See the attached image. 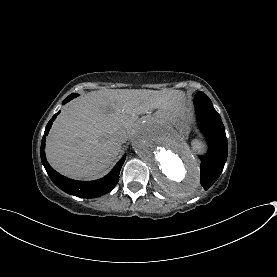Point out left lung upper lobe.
<instances>
[{"instance_id": "1", "label": "left lung upper lobe", "mask_w": 277, "mask_h": 277, "mask_svg": "<svg viewBox=\"0 0 277 277\" xmlns=\"http://www.w3.org/2000/svg\"><path fill=\"white\" fill-rule=\"evenodd\" d=\"M194 103L195 104H205V105H208V106H213L211 100L203 92H197V94L194 97Z\"/></svg>"}]
</instances>
